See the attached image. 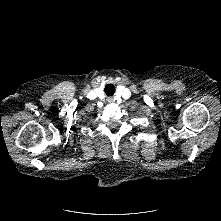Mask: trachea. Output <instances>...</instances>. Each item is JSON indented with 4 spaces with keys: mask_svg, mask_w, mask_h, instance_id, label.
Returning <instances> with one entry per match:
<instances>
[{
    "mask_svg": "<svg viewBox=\"0 0 221 221\" xmlns=\"http://www.w3.org/2000/svg\"><path fill=\"white\" fill-rule=\"evenodd\" d=\"M105 93H106L108 96H112V95L115 93V87H114L112 84H108V85L105 87Z\"/></svg>",
    "mask_w": 221,
    "mask_h": 221,
    "instance_id": "1",
    "label": "trachea"
}]
</instances>
